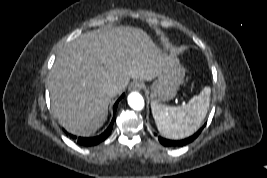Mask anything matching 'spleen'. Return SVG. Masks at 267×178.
<instances>
[{"mask_svg": "<svg viewBox=\"0 0 267 178\" xmlns=\"http://www.w3.org/2000/svg\"><path fill=\"white\" fill-rule=\"evenodd\" d=\"M211 88L206 86L186 105L171 107L151 102L158 131L169 139H182L195 133L201 126L210 106Z\"/></svg>", "mask_w": 267, "mask_h": 178, "instance_id": "spleen-1", "label": "spleen"}]
</instances>
